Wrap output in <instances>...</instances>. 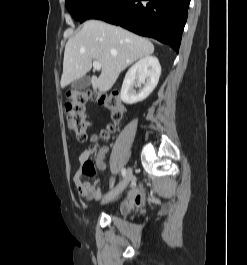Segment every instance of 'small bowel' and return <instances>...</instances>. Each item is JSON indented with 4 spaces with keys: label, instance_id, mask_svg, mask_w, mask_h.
Returning <instances> with one entry per match:
<instances>
[{
    "label": "small bowel",
    "instance_id": "small-bowel-1",
    "mask_svg": "<svg viewBox=\"0 0 247 265\" xmlns=\"http://www.w3.org/2000/svg\"><path fill=\"white\" fill-rule=\"evenodd\" d=\"M106 150L101 149L96 155L95 164L99 170H106L107 165L105 163ZM90 151L85 150L79 156L80 168L77 170L73 177V183L78 191V193L87 200H99L101 198V179H96L93 183H89L83 179L84 175H88L84 171V166L89 162ZM115 179H110V187H114ZM145 199L139 194L136 187H132L129 191L126 199L122 202L120 206V211L122 213H128L136 207L141 206Z\"/></svg>",
    "mask_w": 247,
    "mask_h": 265
}]
</instances>
